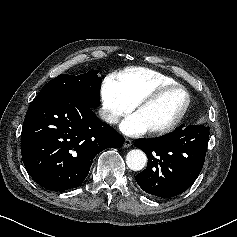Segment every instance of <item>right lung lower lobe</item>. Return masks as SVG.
<instances>
[{
	"mask_svg": "<svg viewBox=\"0 0 237 237\" xmlns=\"http://www.w3.org/2000/svg\"><path fill=\"white\" fill-rule=\"evenodd\" d=\"M123 144L124 137L93 108L63 93L40 92L28 108L21 133L27 172L54 191L80 186L98 153Z\"/></svg>",
	"mask_w": 237,
	"mask_h": 237,
	"instance_id": "98d812e1",
	"label": "right lung lower lobe"
}]
</instances>
